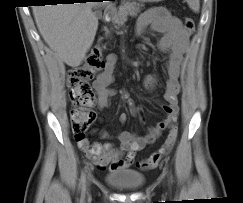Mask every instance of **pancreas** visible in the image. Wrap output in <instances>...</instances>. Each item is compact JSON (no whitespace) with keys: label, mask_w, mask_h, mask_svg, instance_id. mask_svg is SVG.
<instances>
[{"label":"pancreas","mask_w":243,"mask_h":203,"mask_svg":"<svg viewBox=\"0 0 243 203\" xmlns=\"http://www.w3.org/2000/svg\"><path fill=\"white\" fill-rule=\"evenodd\" d=\"M141 7H143V5L136 2H124L119 6L118 10L114 12L112 23L118 27L124 25V23L127 21V16H137L141 10ZM108 34L109 31L106 32V35Z\"/></svg>","instance_id":"cf45deb5"}]
</instances>
